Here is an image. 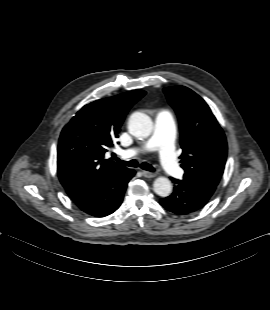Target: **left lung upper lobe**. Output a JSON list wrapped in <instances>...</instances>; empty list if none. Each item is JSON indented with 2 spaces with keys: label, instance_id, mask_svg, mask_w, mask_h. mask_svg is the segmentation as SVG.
<instances>
[{
  "label": "left lung upper lobe",
  "instance_id": "1",
  "mask_svg": "<svg viewBox=\"0 0 270 310\" xmlns=\"http://www.w3.org/2000/svg\"><path fill=\"white\" fill-rule=\"evenodd\" d=\"M180 123L185 176L219 183L227 157L224 132L206 102L184 86L164 88Z\"/></svg>",
  "mask_w": 270,
  "mask_h": 310
}]
</instances>
